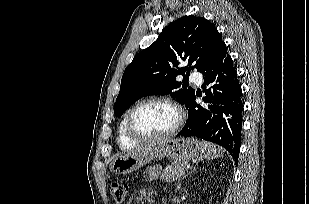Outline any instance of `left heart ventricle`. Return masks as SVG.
Listing matches in <instances>:
<instances>
[{
  "instance_id": "obj_1",
  "label": "left heart ventricle",
  "mask_w": 309,
  "mask_h": 204,
  "mask_svg": "<svg viewBox=\"0 0 309 204\" xmlns=\"http://www.w3.org/2000/svg\"><path fill=\"white\" fill-rule=\"evenodd\" d=\"M176 122L175 111L160 103L143 106L134 116V128L144 135H159L173 127Z\"/></svg>"
}]
</instances>
